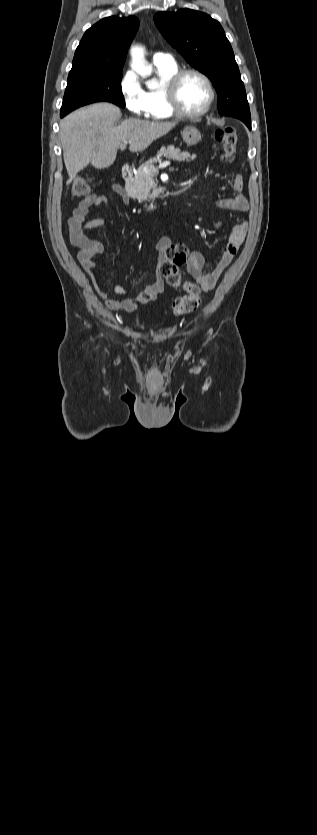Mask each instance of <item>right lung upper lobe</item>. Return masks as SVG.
Returning <instances> with one entry per match:
<instances>
[{
	"label": "right lung upper lobe",
	"mask_w": 317,
	"mask_h": 835,
	"mask_svg": "<svg viewBox=\"0 0 317 835\" xmlns=\"http://www.w3.org/2000/svg\"><path fill=\"white\" fill-rule=\"evenodd\" d=\"M139 26L137 18L107 17L89 28L76 49L72 69L102 67L122 70Z\"/></svg>",
	"instance_id": "obj_1"
}]
</instances>
